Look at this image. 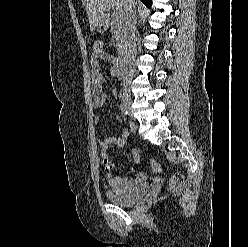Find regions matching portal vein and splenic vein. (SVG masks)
Listing matches in <instances>:
<instances>
[{
    "label": "portal vein and splenic vein",
    "instance_id": "obj_1",
    "mask_svg": "<svg viewBox=\"0 0 248 247\" xmlns=\"http://www.w3.org/2000/svg\"><path fill=\"white\" fill-rule=\"evenodd\" d=\"M115 16H121V14L120 13H115Z\"/></svg>",
    "mask_w": 248,
    "mask_h": 247
}]
</instances>
